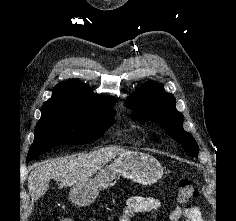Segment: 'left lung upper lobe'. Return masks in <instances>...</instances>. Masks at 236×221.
Masks as SVG:
<instances>
[{"instance_id": "5c2ea615", "label": "left lung upper lobe", "mask_w": 236, "mask_h": 221, "mask_svg": "<svg viewBox=\"0 0 236 221\" xmlns=\"http://www.w3.org/2000/svg\"><path fill=\"white\" fill-rule=\"evenodd\" d=\"M175 104L174 96L153 81L143 84L126 100V106L132 109L136 120L142 124L149 120L159 123L174 140L184 145L189 156L197 158L198 145L194 137L183 129V116Z\"/></svg>"}]
</instances>
